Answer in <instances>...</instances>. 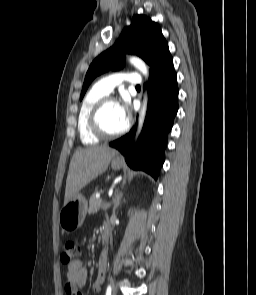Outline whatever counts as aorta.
Listing matches in <instances>:
<instances>
[{
  "mask_svg": "<svg viewBox=\"0 0 256 295\" xmlns=\"http://www.w3.org/2000/svg\"><path fill=\"white\" fill-rule=\"evenodd\" d=\"M130 63L136 67L145 77H148V68L146 64L139 58L137 57H131L130 58ZM146 106H147V98H144L143 101V106L140 112L139 116V121H138V132L141 131V128L143 126L144 118H145V113H146Z\"/></svg>",
  "mask_w": 256,
  "mask_h": 295,
  "instance_id": "762f6f07",
  "label": "aorta"
}]
</instances>
